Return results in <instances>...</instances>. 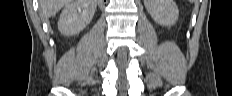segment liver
Here are the masks:
<instances>
[{
	"mask_svg": "<svg viewBox=\"0 0 232 96\" xmlns=\"http://www.w3.org/2000/svg\"><path fill=\"white\" fill-rule=\"evenodd\" d=\"M70 2L71 0H40V16L43 19L47 20L49 17L55 15Z\"/></svg>",
	"mask_w": 232,
	"mask_h": 96,
	"instance_id": "6515ba94",
	"label": "liver"
}]
</instances>
